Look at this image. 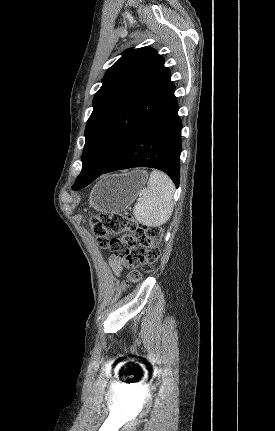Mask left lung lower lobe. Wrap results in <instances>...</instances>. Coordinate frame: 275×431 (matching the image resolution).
<instances>
[{"label": "left lung lower lobe", "mask_w": 275, "mask_h": 431, "mask_svg": "<svg viewBox=\"0 0 275 431\" xmlns=\"http://www.w3.org/2000/svg\"><path fill=\"white\" fill-rule=\"evenodd\" d=\"M174 91L109 167L96 174L81 173L72 187L73 190L84 188L104 173L132 167L162 170L178 187L182 123L178 116L179 106Z\"/></svg>", "instance_id": "0a47b994"}]
</instances>
